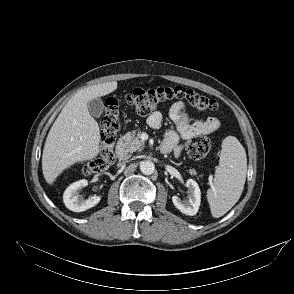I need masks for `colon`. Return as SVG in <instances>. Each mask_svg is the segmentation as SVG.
<instances>
[{
  "label": "colon",
  "mask_w": 294,
  "mask_h": 294,
  "mask_svg": "<svg viewBox=\"0 0 294 294\" xmlns=\"http://www.w3.org/2000/svg\"><path fill=\"white\" fill-rule=\"evenodd\" d=\"M171 99H184L192 107L200 111L215 110L218 103L215 99L201 95L194 90L181 86L158 88H135L126 96V103L139 114L148 115L161 103ZM101 141L99 153L83 165V173L91 175L106 170L114 161V143L121 128L118 102L110 98L105 105L101 118ZM187 153L194 160L205 158L211 150V142L204 136H196L188 140Z\"/></svg>",
  "instance_id": "5ec220e1"
}]
</instances>
